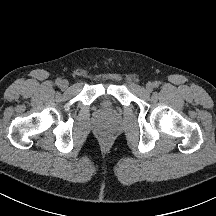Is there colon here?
Listing matches in <instances>:
<instances>
[{
  "label": "colon",
  "instance_id": "1",
  "mask_svg": "<svg viewBox=\"0 0 216 216\" xmlns=\"http://www.w3.org/2000/svg\"><path fill=\"white\" fill-rule=\"evenodd\" d=\"M104 139H105V140H108V137H105Z\"/></svg>",
  "mask_w": 216,
  "mask_h": 216
}]
</instances>
